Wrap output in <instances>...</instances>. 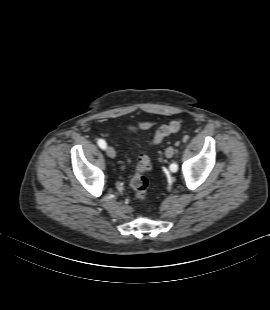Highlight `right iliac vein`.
<instances>
[{"label": "right iliac vein", "mask_w": 270, "mask_h": 310, "mask_svg": "<svg viewBox=\"0 0 270 310\" xmlns=\"http://www.w3.org/2000/svg\"><path fill=\"white\" fill-rule=\"evenodd\" d=\"M106 154H107L110 158H115V156H116V152H115L114 148L111 147V146L106 147Z\"/></svg>", "instance_id": "1"}]
</instances>
